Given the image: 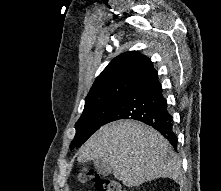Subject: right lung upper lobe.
Returning <instances> with one entry per match:
<instances>
[{
  "label": "right lung upper lobe",
  "instance_id": "cb5924a9",
  "mask_svg": "<svg viewBox=\"0 0 221 191\" xmlns=\"http://www.w3.org/2000/svg\"><path fill=\"white\" fill-rule=\"evenodd\" d=\"M157 72L148 57L129 51L113 59L96 78L85 107L114 98L124 97L132 88Z\"/></svg>",
  "mask_w": 221,
  "mask_h": 191
}]
</instances>
